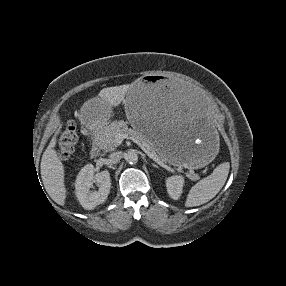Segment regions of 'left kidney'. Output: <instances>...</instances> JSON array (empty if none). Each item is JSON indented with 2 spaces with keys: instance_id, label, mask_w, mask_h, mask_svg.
<instances>
[{
  "instance_id": "obj_1",
  "label": "left kidney",
  "mask_w": 286,
  "mask_h": 286,
  "mask_svg": "<svg viewBox=\"0 0 286 286\" xmlns=\"http://www.w3.org/2000/svg\"><path fill=\"white\" fill-rule=\"evenodd\" d=\"M183 184L184 177L182 176L175 175L166 179L167 192L172 199H179L182 194Z\"/></svg>"
}]
</instances>
